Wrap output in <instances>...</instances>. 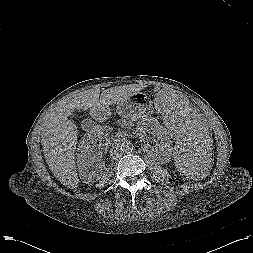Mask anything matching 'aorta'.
Instances as JSON below:
<instances>
[{
  "mask_svg": "<svg viewBox=\"0 0 253 253\" xmlns=\"http://www.w3.org/2000/svg\"><path fill=\"white\" fill-rule=\"evenodd\" d=\"M120 149L123 153H129L133 149L132 143L130 141H124L121 143Z\"/></svg>",
  "mask_w": 253,
  "mask_h": 253,
  "instance_id": "762f6f07",
  "label": "aorta"
}]
</instances>
